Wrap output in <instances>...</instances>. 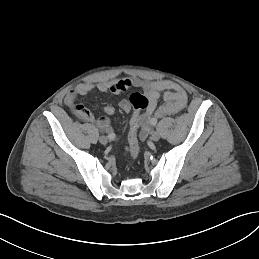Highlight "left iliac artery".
<instances>
[{
  "instance_id": "1",
  "label": "left iliac artery",
  "mask_w": 259,
  "mask_h": 259,
  "mask_svg": "<svg viewBox=\"0 0 259 259\" xmlns=\"http://www.w3.org/2000/svg\"><path fill=\"white\" fill-rule=\"evenodd\" d=\"M157 124V119L156 118H153L152 119V125H156Z\"/></svg>"
}]
</instances>
